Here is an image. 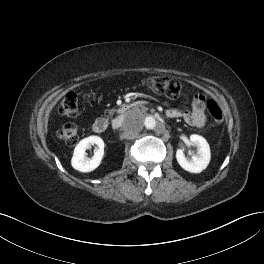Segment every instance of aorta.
Returning <instances> with one entry per match:
<instances>
[{
	"mask_svg": "<svg viewBox=\"0 0 264 264\" xmlns=\"http://www.w3.org/2000/svg\"><path fill=\"white\" fill-rule=\"evenodd\" d=\"M143 124L145 126L146 129H149V130H153L156 128L157 126V122L155 120L154 117L152 116H147L144 120H143Z\"/></svg>",
	"mask_w": 264,
	"mask_h": 264,
	"instance_id": "762f6f07",
	"label": "aorta"
}]
</instances>
